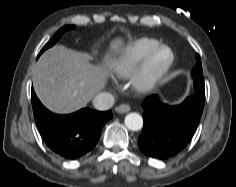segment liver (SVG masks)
<instances>
[{"label":"liver","instance_id":"6515ba94","mask_svg":"<svg viewBox=\"0 0 236 187\" xmlns=\"http://www.w3.org/2000/svg\"><path fill=\"white\" fill-rule=\"evenodd\" d=\"M122 38L113 40L111 51H120ZM110 71L94 66L85 53L62 45L46 50L33 72L35 93L43 105L58 114H69L83 108L105 86Z\"/></svg>","mask_w":236,"mask_h":187}]
</instances>
